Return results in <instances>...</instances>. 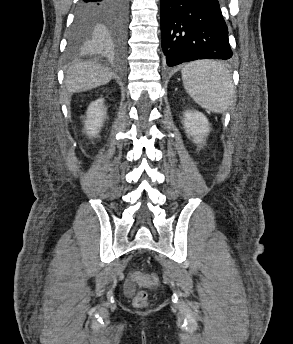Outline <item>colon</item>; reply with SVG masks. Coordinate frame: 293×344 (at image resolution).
Returning a JSON list of instances; mask_svg holds the SVG:
<instances>
[{
	"instance_id": "5ec220e1",
	"label": "colon",
	"mask_w": 293,
	"mask_h": 344,
	"mask_svg": "<svg viewBox=\"0 0 293 344\" xmlns=\"http://www.w3.org/2000/svg\"><path fill=\"white\" fill-rule=\"evenodd\" d=\"M130 280L132 282H155L156 276L154 275H145L139 272H134L130 275ZM148 304V295L145 291L140 290L136 293L134 299H133V305L136 308H145Z\"/></svg>"
}]
</instances>
